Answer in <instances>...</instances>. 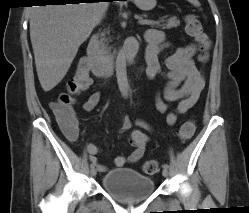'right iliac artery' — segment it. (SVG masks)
<instances>
[{
  "mask_svg": "<svg viewBox=\"0 0 249 213\" xmlns=\"http://www.w3.org/2000/svg\"><path fill=\"white\" fill-rule=\"evenodd\" d=\"M94 166H95V162H92L91 165H90V167L94 168Z\"/></svg>",
  "mask_w": 249,
  "mask_h": 213,
  "instance_id": "82829eb1",
  "label": "right iliac artery"
}]
</instances>
